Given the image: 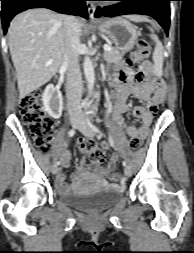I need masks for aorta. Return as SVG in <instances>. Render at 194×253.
<instances>
[{
  "instance_id": "aorta-1",
  "label": "aorta",
  "mask_w": 194,
  "mask_h": 253,
  "mask_svg": "<svg viewBox=\"0 0 194 253\" xmlns=\"http://www.w3.org/2000/svg\"><path fill=\"white\" fill-rule=\"evenodd\" d=\"M84 75L87 81V87L89 94L92 93L94 83H95V74L94 67L90 57L86 56L83 62Z\"/></svg>"
}]
</instances>
